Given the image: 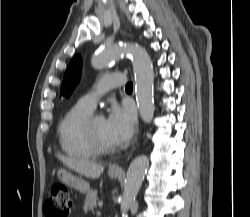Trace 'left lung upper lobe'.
<instances>
[{"instance_id": "5c2ea615", "label": "left lung upper lobe", "mask_w": 250, "mask_h": 217, "mask_svg": "<svg viewBox=\"0 0 250 217\" xmlns=\"http://www.w3.org/2000/svg\"><path fill=\"white\" fill-rule=\"evenodd\" d=\"M82 59L79 55H76L70 62L61 85L60 93L66 97H69L73 92L80 78Z\"/></svg>"}]
</instances>
